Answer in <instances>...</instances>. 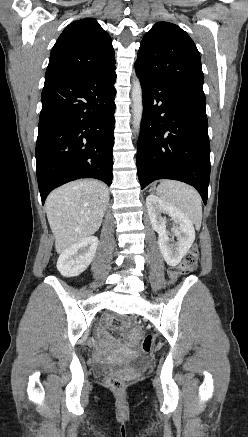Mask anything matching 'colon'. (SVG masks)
<instances>
[{
	"mask_svg": "<svg viewBox=\"0 0 248 437\" xmlns=\"http://www.w3.org/2000/svg\"><path fill=\"white\" fill-rule=\"evenodd\" d=\"M198 249L196 246L192 247L184 256L182 261L174 267L169 268L168 275L171 279L176 280L179 277L193 272L198 263ZM153 346V339L151 336H146L139 345V351L142 354H147L151 351ZM107 385L115 392H122L125 388L124 380L116 376H108L106 378Z\"/></svg>",
	"mask_w": 248,
	"mask_h": 437,
	"instance_id": "obj_1",
	"label": "colon"
}]
</instances>
